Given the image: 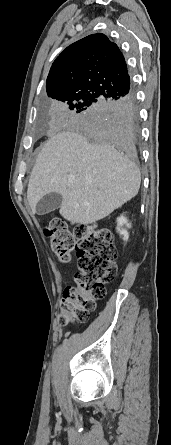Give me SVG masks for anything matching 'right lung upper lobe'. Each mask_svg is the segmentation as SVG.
<instances>
[{
  "mask_svg": "<svg viewBox=\"0 0 171 445\" xmlns=\"http://www.w3.org/2000/svg\"><path fill=\"white\" fill-rule=\"evenodd\" d=\"M46 89L52 99L68 91H92L118 100L132 94L124 56L104 34L68 46L52 64Z\"/></svg>",
  "mask_w": 171,
  "mask_h": 445,
  "instance_id": "cb5924a9",
  "label": "right lung upper lobe"
}]
</instances>
